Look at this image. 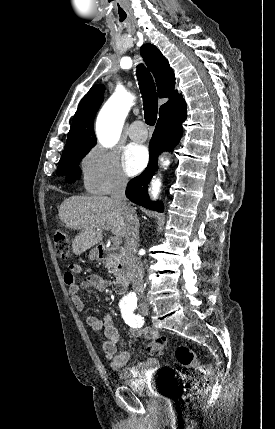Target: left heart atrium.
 Returning a JSON list of instances; mask_svg holds the SVG:
<instances>
[{
    "label": "left heart atrium",
    "mask_w": 275,
    "mask_h": 429,
    "mask_svg": "<svg viewBox=\"0 0 275 429\" xmlns=\"http://www.w3.org/2000/svg\"><path fill=\"white\" fill-rule=\"evenodd\" d=\"M148 162V151L144 146L129 145L123 154V165L129 175L139 173Z\"/></svg>",
    "instance_id": "obj_1"
}]
</instances>
